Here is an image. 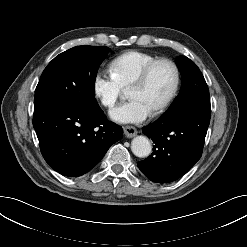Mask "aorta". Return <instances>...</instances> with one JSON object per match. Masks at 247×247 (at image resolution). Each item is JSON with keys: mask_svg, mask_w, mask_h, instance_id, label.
<instances>
[{"mask_svg": "<svg viewBox=\"0 0 247 247\" xmlns=\"http://www.w3.org/2000/svg\"><path fill=\"white\" fill-rule=\"evenodd\" d=\"M131 150L135 156L144 158L150 155L152 145L147 137L136 136L131 142Z\"/></svg>", "mask_w": 247, "mask_h": 247, "instance_id": "1", "label": "aorta"}]
</instances>
